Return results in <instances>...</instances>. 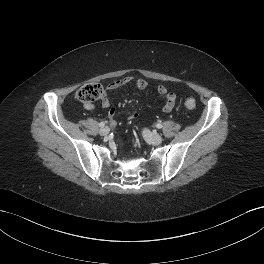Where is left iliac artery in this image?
<instances>
[{"label":"left iliac artery","mask_w":264,"mask_h":264,"mask_svg":"<svg viewBox=\"0 0 264 264\" xmlns=\"http://www.w3.org/2000/svg\"><path fill=\"white\" fill-rule=\"evenodd\" d=\"M156 127L160 129V128H162V124L158 123V124L156 125Z\"/></svg>","instance_id":"1"}]
</instances>
